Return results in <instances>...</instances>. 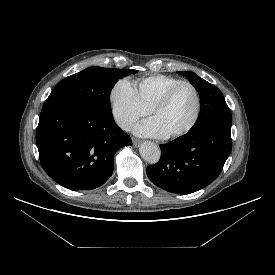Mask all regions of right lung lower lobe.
<instances>
[{"label":"right lung lower lobe","instance_id":"98d812e1","mask_svg":"<svg viewBox=\"0 0 275 275\" xmlns=\"http://www.w3.org/2000/svg\"><path fill=\"white\" fill-rule=\"evenodd\" d=\"M36 143L46 173L74 191L103 185L112 175L116 151L132 145L112 115L82 103L44 106Z\"/></svg>","mask_w":275,"mask_h":275}]
</instances>
